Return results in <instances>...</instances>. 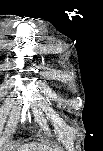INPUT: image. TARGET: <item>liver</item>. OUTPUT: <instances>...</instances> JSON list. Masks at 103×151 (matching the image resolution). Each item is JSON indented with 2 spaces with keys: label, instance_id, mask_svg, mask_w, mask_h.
<instances>
[{
  "label": "liver",
  "instance_id": "6515ba94",
  "mask_svg": "<svg viewBox=\"0 0 103 151\" xmlns=\"http://www.w3.org/2000/svg\"><path fill=\"white\" fill-rule=\"evenodd\" d=\"M18 151H56V150L43 144L29 143L19 148Z\"/></svg>",
  "mask_w": 103,
  "mask_h": 151
}]
</instances>
